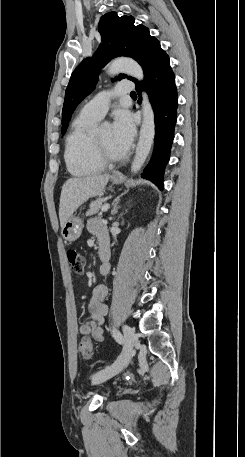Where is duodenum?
I'll return each mask as SVG.
<instances>
[{
	"instance_id": "obj_1",
	"label": "duodenum",
	"mask_w": 245,
	"mask_h": 457,
	"mask_svg": "<svg viewBox=\"0 0 245 457\" xmlns=\"http://www.w3.org/2000/svg\"><path fill=\"white\" fill-rule=\"evenodd\" d=\"M99 258L103 263L108 262L110 258V252L106 248H100L99 249Z\"/></svg>"
}]
</instances>
